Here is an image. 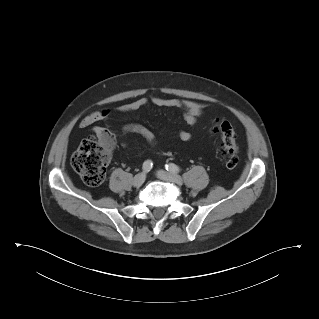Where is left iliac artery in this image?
Returning a JSON list of instances; mask_svg holds the SVG:
<instances>
[{"label": "left iliac artery", "mask_w": 319, "mask_h": 319, "mask_svg": "<svg viewBox=\"0 0 319 319\" xmlns=\"http://www.w3.org/2000/svg\"><path fill=\"white\" fill-rule=\"evenodd\" d=\"M165 167H166L167 171H170L173 173H178L180 171V168L173 163L167 164V165H165Z\"/></svg>", "instance_id": "left-iliac-artery-1"}]
</instances>
